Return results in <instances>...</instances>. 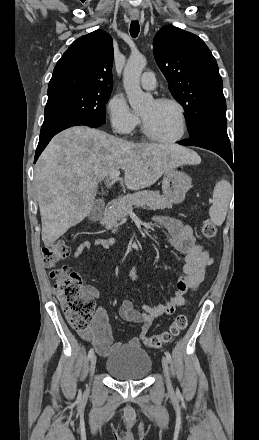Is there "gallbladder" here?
I'll use <instances>...</instances> for the list:
<instances>
[{"mask_svg": "<svg viewBox=\"0 0 259 440\" xmlns=\"http://www.w3.org/2000/svg\"><path fill=\"white\" fill-rule=\"evenodd\" d=\"M104 210V203L102 200H96L93 204V207L90 211V213L88 214V218L91 221H97L100 219V217L102 216Z\"/></svg>", "mask_w": 259, "mask_h": 440, "instance_id": "1", "label": "gallbladder"}]
</instances>
